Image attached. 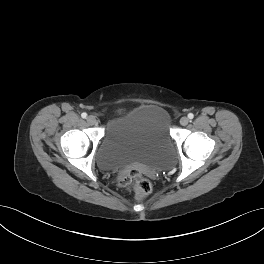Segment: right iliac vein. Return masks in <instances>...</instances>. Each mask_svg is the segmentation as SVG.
<instances>
[{
    "label": "right iliac vein",
    "mask_w": 264,
    "mask_h": 264,
    "mask_svg": "<svg viewBox=\"0 0 264 264\" xmlns=\"http://www.w3.org/2000/svg\"><path fill=\"white\" fill-rule=\"evenodd\" d=\"M87 122L90 125H95L97 123V119H96L95 116L90 115V116L87 117Z\"/></svg>",
    "instance_id": "63e3f726"
}]
</instances>
